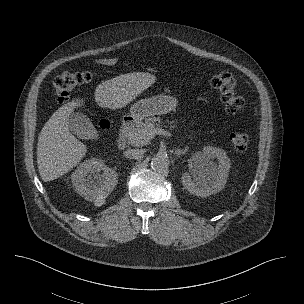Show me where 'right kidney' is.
Wrapping results in <instances>:
<instances>
[{"instance_id": "obj_1", "label": "right kidney", "mask_w": 304, "mask_h": 304, "mask_svg": "<svg viewBox=\"0 0 304 304\" xmlns=\"http://www.w3.org/2000/svg\"><path fill=\"white\" fill-rule=\"evenodd\" d=\"M71 179L75 191L85 200L103 204L116 186L118 174L106 166L102 159L93 157L81 163L71 175Z\"/></svg>"}]
</instances>
